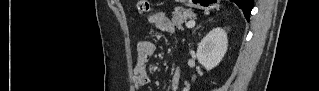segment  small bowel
<instances>
[{"instance_id":"obj_1","label":"small bowel","mask_w":319,"mask_h":91,"mask_svg":"<svg viewBox=\"0 0 319 91\" xmlns=\"http://www.w3.org/2000/svg\"><path fill=\"white\" fill-rule=\"evenodd\" d=\"M148 23L158 31L169 34L174 33V26L164 12L153 13L148 17ZM157 46L149 39L139 41L137 45V59L133 67L135 83L137 86H146L151 82L148 69L149 60L156 54ZM181 73L179 68H174L170 75L171 89L177 91L180 86Z\"/></svg>"}]
</instances>
